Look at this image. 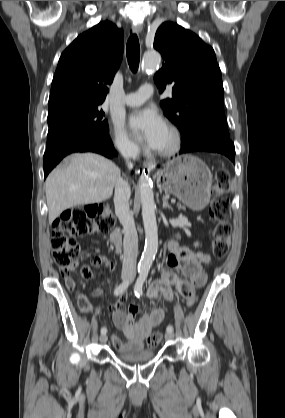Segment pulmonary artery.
Masks as SVG:
<instances>
[{
	"label": "pulmonary artery",
	"mask_w": 285,
	"mask_h": 418,
	"mask_svg": "<svg viewBox=\"0 0 285 418\" xmlns=\"http://www.w3.org/2000/svg\"><path fill=\"white\" fill-rule=\"evenodd\" d=\"M153 95V88L151 85L143 84L139 91L131 93L123 97L122 103L127 106L141 105L146 99Z\"/></svg>",
	"instance_id": "e3ab8cb5"
}]
</instances>
